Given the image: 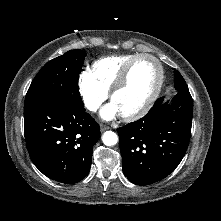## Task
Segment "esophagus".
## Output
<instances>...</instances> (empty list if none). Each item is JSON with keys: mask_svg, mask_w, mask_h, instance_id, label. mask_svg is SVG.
<instances>
[{"mask_svg": "<svg viewBox=\"0 0 221 221\" xmlns=\"http://www.w3.org/2000/svg\"><path fill=\"white\" fill-rule=\"evenodd\" d=\"M108 129H109L108 126L103 125V124L100 125V130H101V132H104V131H106V130H108Z\"/></svg>", "mask_w": 221, "mask_h": 221, "instance_id": "34e87169", "label": "esophagus"}]
</instances>
